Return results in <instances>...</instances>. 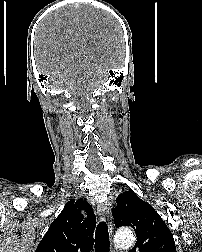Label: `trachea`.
Returning a JSON list of instances; mask_svg holds the SVG:
<instances>
[{"instance_id":"3493384b","label":"trachea","mask_w":202,"mask_h":252,"mask_svg":"<svg viewBox=\"0 0 202 252\" xmlns=\"http://www.w3.org/2000/svg\"><path fill=\"white\" fill-rule=\"evenodd\" d=\"M109 251V233L106 222L102 221L98 224L95 233V252Z\"/></svg>"}]
</instances>
